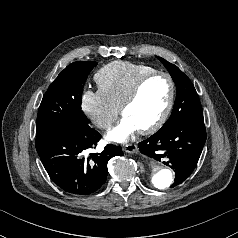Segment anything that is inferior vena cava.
<instances>
[{
	"mask_svg": "<svg viewBox=\"0 0 238 238\" xmlns=\"http://www.w3.org/2000/svg\"><path fill=\"white\" fill-rule=\"evenodd\" d=\"M98 125L101 126V127H107V126H110V125H111V122L108 121V120L102 119V120H100V121L98 122Z\"/></svg>",
	"mask_w": 238,
	"mask_h": 238,
	"instance_id": "1",
	"label": "inferior vena cava"
}]
</instances>
